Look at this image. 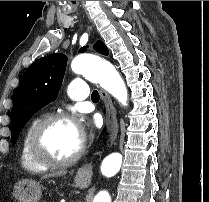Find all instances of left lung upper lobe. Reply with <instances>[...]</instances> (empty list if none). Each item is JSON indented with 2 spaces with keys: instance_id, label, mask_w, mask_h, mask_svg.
I'll return each instance as SVG.
<instances>
[{
  "instance_id": "5c2ea615",
  "label": "left lung upper lobe",
  "mask_w": 209,
  "mask_h": 202,
  "mask_svg": "<svg viewBox=\"0 0 209 202\" xmlns=\"http://www.w3.org/2000/svg\"><path fill=\"white\" fill-rule=\"evenodd\" d=\"M94 49L103 55H108V49L101 41L94 45ZM86 50L84 46L79 52ZM66 63L67 57L64 54L55 53L38 59L24 72L12 109V145H15L25 123L38 110L56 99L65 74Z\"/></svg>"
}]
</instances>
